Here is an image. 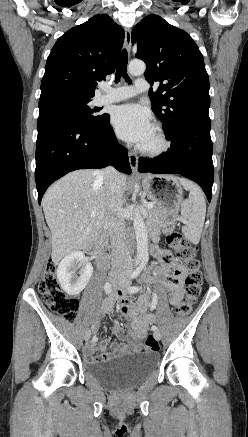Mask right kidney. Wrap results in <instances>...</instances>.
<instances>
[{
	"mask_svg": "<svg viewBox=\"0 0 248 437\" xmlns=\"http://www.w3.org/2000/svg\"><path fill=\"white\" fill-rule=\"evenodd\" d=\"M80 261H85V264L78 276L76 275V263ZM56 273L62 289L69 295H77L88 284L93 267L90 262L85 260L83 252L75 251L62 259Z\"/></svg>",
	"mask_w": 248,
	"mask_h": 437,
	"instance_id": "right-kidney-1",
	"label": "right kidney"
}]
</instances>
